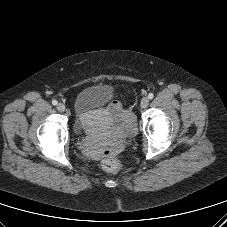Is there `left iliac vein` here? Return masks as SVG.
Instances as JSON below:
<instances>
[{
    "instance_id": "obj_1",
    "label": "left iliac vein",
    "mask_w": 227,
    "mask_h": 227,
    "mask_svg": "<svg viewBox=\"0 0 227 227\" xmlns=\"http://www.w3.org/2000/svg\"><path fill=\"white\" fill-rule=\"evenodd\" d=\"M148 105H149V98L144 97V98L141 100V107H142V108H146Z\"/></svg>"
}]
</instances>
